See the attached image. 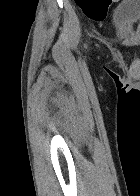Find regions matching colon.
Segmentation results:
<instances>
[{
	"instance_id": "5ec220e1",
	"label": "colon",
	"mask_w": 140,
	"mask_h": 196,
	"mask_svg": "<svg viewBox=\"0 0 140 196\" xmlns=\"http://www.w3.org/2000/svg\"><path fill=\"white\" fill-rule=\"evenodd\" d=\"M77 4L80 5L81 7L84 6L85 0H76ZM105 2L108 4L110 0H105Z\"/></svg>"
}]
</instances>
